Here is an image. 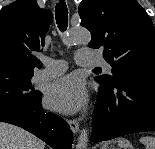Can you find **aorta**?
Here are the masks:
<instances>
[{
  "instance_id": "1",
  "label": "aorta",
  "mask_w": 155,
  "mask_h": 149,
  "mask_svg": "<svg viewBox=\"0 0 155 149\" xmlns=\"http://www.w3.org/2000/svg\"><path fill=\"white\" fill-rule=\"evenodd\" d=\"M89 41H90V34L85 29L73 30L64 39V43L66 45L88 43ZM87 145H88V130L84 128L80 131L76 149H87Z\"/></svg>"
}]
</instances>
